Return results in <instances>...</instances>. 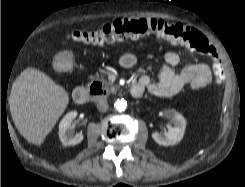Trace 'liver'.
<instances>
[{"instance_id": "1", "label": "liver", "mask_w": 245, "mask_h": 187, "mask_svg": "<svg viewBox=\"0 0 245 187\" xmlns=\"http://www.w3.org/2000/svg\"><path fill=\"white\" fill-rule=\"evenodd\" d=\"M69 103L66 90L35 68L25 69L14 81L10 112L19 133L40 146Z\"/></svg>"}]
</instances>
